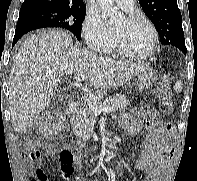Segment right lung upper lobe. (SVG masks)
Masks as SVG:
<instances>
[{"label":"right lung upper lobe","instance_id":"1","mask_svg":"<svg viewBox=\"0 0 197 181\" xmlns=\"http://www.w3.org/2000/svg\"><path fill=\"white\" fill-rule=\"evenodd\" d=\"M36 5H49L57 7L85 8L83 0H25L21 10H25ZM20 10V11H21Z\"/></svg>","mask_w":197,"mask_h":181}]
</instances>
